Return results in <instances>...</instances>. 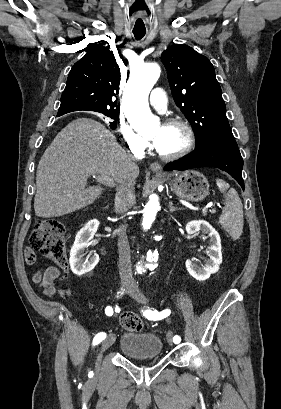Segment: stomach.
Returning a JSON list of instances; mask_svg holds the SVG:
<instances>
[{
	"mask_svg": "<svg viewBox=\"0 0 281 409\" xmlns=\"http://www.w3.org/2000/svg\"><path fill=\"white\" fill-rule=\"evenodd\" d=\"M164 180H168L171 190L177 196L191 200V202L203 200L209 194V182L206 176L198 172V170H184V172H180V174L172 176V178L170 174Z\"/></svg>",
	"mask_w": 281,
	"mask_h": 409,
	"instance_id": "stomach-1",
	"label": "stomach"
}]
</instances>
